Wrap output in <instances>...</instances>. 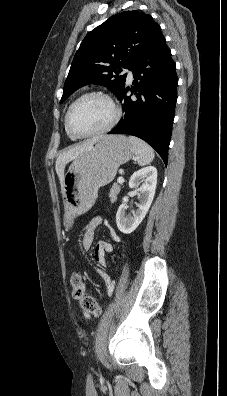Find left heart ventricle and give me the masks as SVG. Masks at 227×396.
<instances>
[{"label": "left heart ventricle", "instance_id": "1", "mask_svg": "<svg viewBox=\"0 0 227 396\" xmlns=\"http://www.w3.org/2000/svg\"><path fill=\"white\" fill-rule=\"evenodd\" d=\"M113 114V109L106 99L90 96L74 107L70 121L76 132L89 133L107 125Z\"/></svg>", "mask_w": 227, "mask_h": 396}]
</instances>
